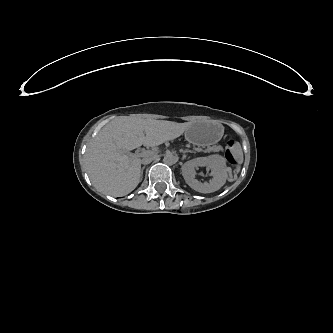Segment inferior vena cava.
Returning a JSON list of instances; mask_svg holds the SVG:
<instances>
[{
	"label": "inferior vena cava",
	"instance_id": "602c4592",
	"mask_svg": "<svg viewBox=\"0 0 333 333\" xmlns=\"http://www.w3.org/2000/svg\"><path fill=\"white\" fill-rule=\"evenodd\" d=\"M155 158H156L155 156H152V157H149V158H144L142 160V164L147 165V164L151 163Z\"/></svg>",
	"mask_w": 333,
	"mask_h": 333
}]
</instances>
